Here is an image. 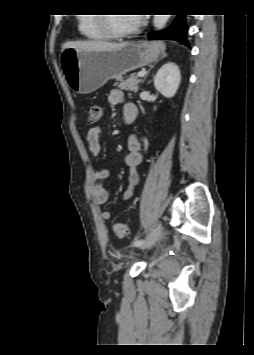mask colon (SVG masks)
I'll use <instances>...</instances> for the list:
<instances>
[{
  "label": "colon",
  "mask_w": 254,
  "mask_h": 355,
  "mask_svg": "<svg viewBox=\"0 0 254 355\" xmlns=\"http://www.w3.org/2000/svg\"><path fill=\"white\" fill-rule=\"evenodd\" d=\"M102 114V108L99 105H90L87 108V121L89 124L96 123ZM114 232L118 238H126L129 236V228L124 223H115Z\"/></svg>",
  "instance_id": "1"
}]
</instances>
